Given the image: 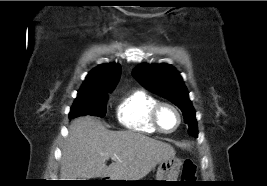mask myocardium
I'll list each match as a JSON object with an SVG mask.
<instances>
[{
    "instance_id": "obj_1",
    "label": "myocardium",
    "mask_w": 267,
    "mask_h": 186,
    "mask_svg": "<svg viewBox=\"0 0 267 186\" xmlns=\"http://www.w3.org/2000/svg\"><path fill=\"white\" fill-rule=\"evenodd\" d=\"M165 106L172 108L175 111L177 118H178L176 126L170 131L164 130L161 127L160 122H159L160 110ZM150 121H151L152 125L154 126V128L157 130V132L162 133V134H171V133H174L180 127V125L182 123V114H181V111L179 110V108L176 105H174L173 103L166 102V101H159L151 109Z\"/></svg>"
}]
</instances>
